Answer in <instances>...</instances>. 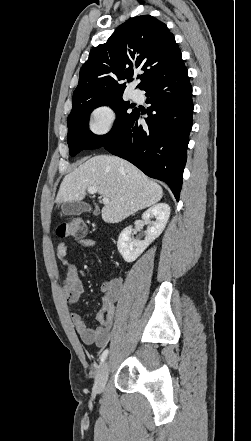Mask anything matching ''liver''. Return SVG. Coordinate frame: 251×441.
Wrapping results in <instances>:
<instances>
[{"instance_id": "1", "label": "liver", "mask_w": 251, "mask_h": 441, "mask_svg": "<svg viewBox=\"0 0 251 441\" xmlns=\"http://www.w3.org/2000/svg\"><path fill=\"white\" fill-rule=\"evenodd\" d=\"M96 187L98 193L109 198L102 208L106 223H118L159 202L163 190L137 167L115 156H94L67 174L58 191L57 203L81 201L86 190Z\"/></svg>"}]
</instances>
